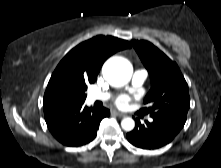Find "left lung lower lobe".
<instances>
[{"instance_id": "left-lung-lower-lobe-1", "label": "left lung lower lobe", "mask_w": 221, "mask_h": 168, "mask_svg": "<svg viewBox=\"0 0 221 168\" xmlns=\"http://www.w3.org/2000/svg\"><path fill=\"white\" fill-rule=\"evenodd\" d=\"M135 121V128L127 133V139L134 146L147 150L158 149L170 143L184 126L165 118H153L152 122L145 121L144 124L138 118Z\"/></svg>"}]
</instances>
